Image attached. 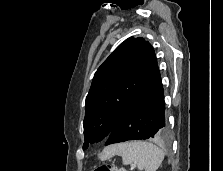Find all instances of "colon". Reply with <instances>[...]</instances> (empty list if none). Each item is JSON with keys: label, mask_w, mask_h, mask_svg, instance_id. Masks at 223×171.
Instances as JSON below:
<instances>
[{"label": "colon", "mask_w": 223, "mask_h": 171, "mask_svg": "<svg viewBox=\"0 0 223 171\" xmlns=\"http://www.w3.org/2000/svg\"><path fill=\"white\" fill-rule=\"evenodd\" d=\"M94 171H126V170L113 165H101L97 167Z\"/></svg>", "instance_id": "colon-1"}]
</instances>
